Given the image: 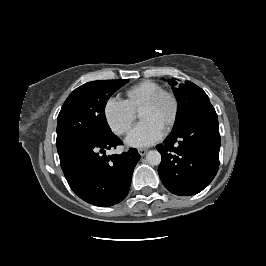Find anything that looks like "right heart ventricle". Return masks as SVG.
<instances>
[{"mask_svg":"<svg viewBox=\"0 0 266 266\" xmlns=\"http://www.w3.org/2000/svg\"><path fill=\"white\" fill-rule=\"evenodd\" d=\"M164 90L163 86L154 81H143L126 92L127 102L135 111L142 109L143 105L155 94Z\"/></svg>","mask_w":266,"mask_h":266,"instance_id":"right-heart-ventricle-1","label":"right heart ventricle"}]
</instances>
